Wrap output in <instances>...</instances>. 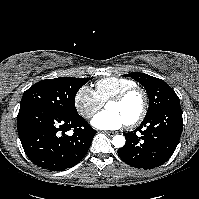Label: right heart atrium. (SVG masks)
<instances>
[{
	"label": "right heart atrium",
	"instance_id": "d8ad5b80",
	"mask_svg": "<svg viewBox=\"0 0 199 199\" xmlns=\"http://www.w3.org/2000/svg\"><path fill=\"white\" fill-rule=\"evenodd\" d=\"M74 105L79 114L89 120L103 107L95 91L87 85L81 86L75 94Z\"/></svg>",
	"mask_w": 199,
	"mask_h": 199
}]
</instances>
